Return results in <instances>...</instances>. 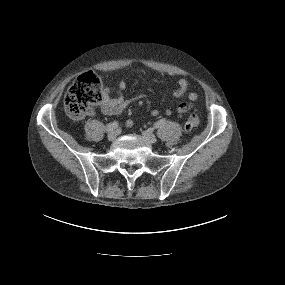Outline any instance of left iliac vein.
<instances>
[{
  "instance_id": "obj_1",
  "label": "left iliac vein",
  "mask_w": 285,
  "mask_h": 285,
  "mask_svg": "<svg viewBox=\"0 0 285 285\" xmlns=\"http://www.w3.org/2000/svg\"><path fill=\"white\" fill-rule=\"evenodd\" d=\"M142 136H143V138H145L150 143H155L157 141L156 136L151 132H147V131L143 132Z\"/></svg>"
}]
</instances>
